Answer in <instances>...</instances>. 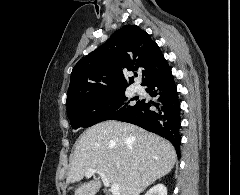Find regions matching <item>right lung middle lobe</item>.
Listing matches in <instances>:
<instances>
[{"label": "right lung middle lobe", "instance_id": "dd1d6c3e", "mask_svg": "<svg viewBox=\"0 0 240 195\" xmlns=\"http://www.w3.org/2000/svg\"><path fill=\"white\" fill-rule=\"evenodd\" d=\"M125 96V90L100 97H84L67 105L72 128L90 127L105 120L115 119L120 114L137 106Z\"/></svg>", "mask_w": 240, "mask_h": 195}]
</instances>
